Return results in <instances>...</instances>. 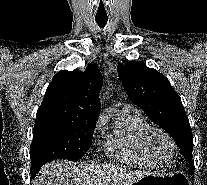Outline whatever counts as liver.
Segmentation results:
<instances>
[{
	"instance_id": "6515ba94",
	"label": "liver",
	"mask_w": 207,
	"mask_h": 185,
	"mask_svg": "<svg viewBox=\"0 0 207 185\" xmlns=\"http://www.w3.org/2000/svg\"><path fill=\"white\" fill-rule=\"evenodd\" d=\"M87 167L68 163V161H57L43 165L33 185H90L91 175L86 173Z\"/></svg>"
}]
</instances>
